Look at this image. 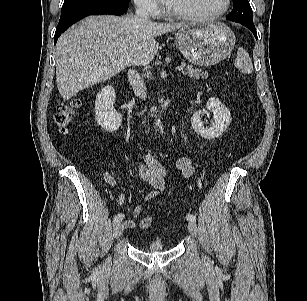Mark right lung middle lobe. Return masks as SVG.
Wrapping results in <instances>:
<instances>
[{"label": "right lung middle lobe", "mask_w": 307, "mask_h": 301, "mask_svg": "<svg viewBox=\"0 0 307 301\" xmlns=\"http://www.w3.org/2000/svg\"><path fill=\"white\" fill-rule=\"evenodd\" d=\"M97 1H103V0H65L62 6V11L70 9V8H74L80 5L88 4L91 2H97ZM111 1L124 2V3L129 2V0H111Z\"/></svg>", "instance_id": "right-lung-middle-lobe-1"}]
</instances>
